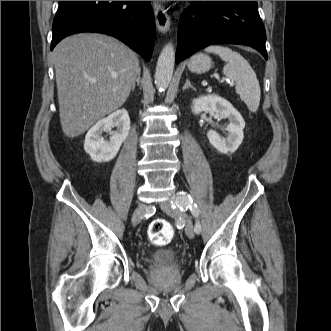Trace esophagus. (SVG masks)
<instances>
[{
    "label": "esophagus",
    "instance_id": "34e87169",
    "mask_svg": "<svg viewBox=\"0 0 331 331\" xmlns=\"http://www.w3.org/2000/svg\"><path fill=\"white\" fill-rule=\"evenodd\" d=\"M156 26L162 33H166L170 29V16L167 14L165 8L157 1L153 2Z\"/></svg>",
    "mask_w": 331,
    "mask_h": 331
}]
</instances>
